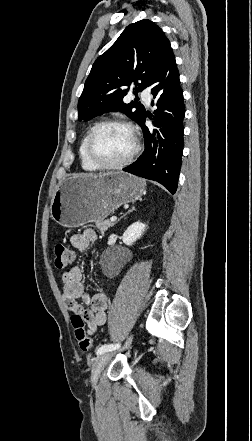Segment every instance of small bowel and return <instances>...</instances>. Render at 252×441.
<instances>
[{"label": "small bowel", "instance_id": "small-bowel-1", "mask_svg": "<svg viewBox=\"0 0 252 441\" xmlns=\"http://www.w3.org/2000/svg\"><path fill=\"white\" fill-rule=\"evenodd\" d=\"M96 237V231L87 228L82 233L73 234L70 243L75 249L84 251L96 240ZM62 284V298L66 308L82 317L87 325L88 333H94L98 327L106 323L108 296L104 292L90 296L83 282L82 271L78 266L63 273ZM78 300H81L82 303H79Z\"/></svg>", "mask_w": 252, "mask_h": 441}]
</instances>
